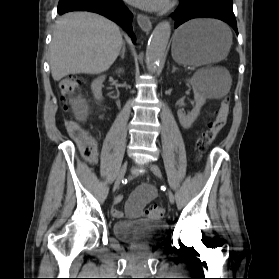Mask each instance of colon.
<instances>
[{
    "instance_id": "colon-1",
    "label": "colon",
    "mask_w": 279,
    "mask_h": 279,
    "mask_svg": "<svg viewBox=\"0 0 279 279\" xmlns=\"http://www.w3.org/2000/svg\"><path fill=\"white\" fill-rule=\"evenodd\" d=\"M85 79L80 76H70L60 82V91L64 98L73 99L79 94ZM230 112V97H225L218 109L214 119L209 123L207 129L198 140L197 146L200 153H204L215 141L220 131L226 125ZM67 130L76 139L82 157L88 162H94L98 155V144L96 139L91 136L82 125L74 120L66 123ZM165 210L157 205L146 209L147 217L158 220L164 216Z\"/></svg>"
}]
</instances>
